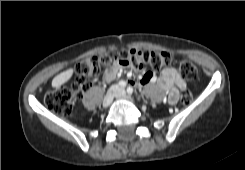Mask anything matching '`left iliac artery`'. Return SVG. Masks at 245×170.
Segmentation results:
<instances>
[{
    "mask_svg": "<svg viewBox=\"0 0 245 170\" xmlns=\"http://www.w3.org/2000/svg\"><path fill=\"white\" fill-rule=\"evenodd\" d=\"M127 93H128L129 95H131V94L133 93V88H132V87H128V88H127Z\"/></svg>",
    "mask_w": 245,
    "mask_h": 170,
    "instance_id": "obj_1",
    "label": "left iliac artery"
}]
</instances>
